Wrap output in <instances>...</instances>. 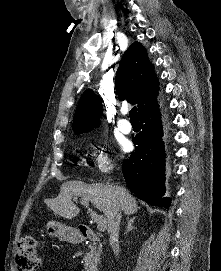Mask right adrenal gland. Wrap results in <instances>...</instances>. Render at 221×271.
<instances>
[{"mask_svg":"<svg viewBox=\"0 0 221 271\" xmlns=\"http://www.w3.org/2000/svg\"><path fill=\"white\" fill-rule=\"evenodd\" d=\"M134 219H136V217H128V221H127V225H126V231H131V229H134Z\"/></svg>","mask_w":221,"mask_h":271,"instance_id":"1","label":"right adrenal gland"}]
</instances>
